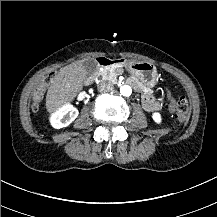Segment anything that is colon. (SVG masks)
<instances>
[{
    "instance_id": "5ec220e1",
    "label": "colon",
    "mask_w": 217,
    "mask_h": 217,
    "mask_svg": "<svg viewBox=\"0 0 217 217\" xmlns=\"http://www.w3.org/2000/svg\"><path fill=\"white\" fill-rule=\"evenodd\" d=\"M55 81V76L52 73L45 74L44 78L42 79L41 83L37 84L36 92L34 94L32 104H31V111L33 113L38 112L39 110V102L43 96V94L47 93L48 89L52 87ZM161 92L164 96H172L173 90L169 85L161 86ZM171 108L175 112V116L177 119L178 124L184 125L188 122L189 119V110L190 104L189 100L186 96L181 95L172 100Z\"/></svg>"
}]
</instances>
